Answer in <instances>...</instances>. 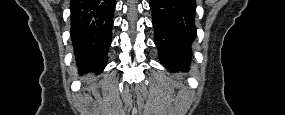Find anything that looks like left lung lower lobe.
Segmentation results:
<instances>
[{
    "instance_id": "1",
    "label": "left lung lower lobe",
    "mask_w": 285,
    "mask_h": 115,
    "mask_svg": "<svg viewBox=\"0 0 285 115\" xmlns=\"http://www.w3.org/2000/svg\"><path fill=\"white\" fill-rule=\"evenodd\" d=\"M155 44L161 63L168 69L189 65L196 38L194 0H150Z\"/></svg>"
}]
</instances>
